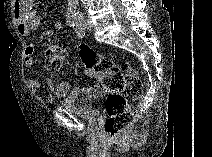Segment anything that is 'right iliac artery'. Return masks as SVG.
Returning <instances> with one entry per match:
<instances>
[{
  "mask_svg": "<svg viewBox=\"0 0 212 157\" xmlns=\"http://www.w3.org/2000/svg\"><path fill=\"white\" fill-rule=\"evenodd\" d=\"M76 14H71L68 16L67 18V22H68V25L70 27H75L76 26Z\"/></svg>",
  "mask_w": 212,
  "mask_h": 157,
  "instance_id": "82829eb1",
  "label": "right iliac artery"
}]
</instances>
